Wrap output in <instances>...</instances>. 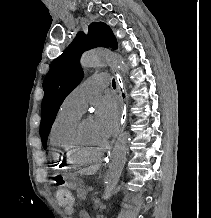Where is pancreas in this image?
I'll return each mask as SVG.
<instances>
[{"label":"pancreas","mask_w":211,"mask_h":218,"mask_svg":"<svg viewBox=\"0 0 211 218\" xmlns=\"http://www.w3.org/2000/svg\"><path fill=\"white\" fill-rule=\"evenodd\" d=\"M86 190L84 188H77V198H81V200H85L86 198Z\"/></svg>","instance_id":"obj_1"}]
</instances>
